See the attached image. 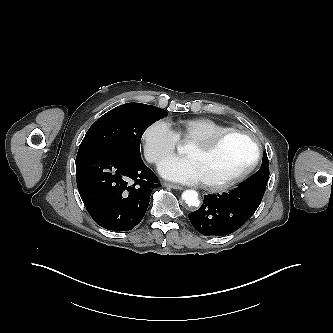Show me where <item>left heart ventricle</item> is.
Masks as SVG:
<instances>
[{
  "label": "left heart ventricle",
  "instance_id": "1",
  "mask_svg": "<svg viewBox=\"0 0 333 333\" xmlns=\"http://www.w3.org/2000/svg\"><path fill=\"white\" fill-rule=\"evenodd\" d=\"M186 156L193 159L204 182H221L244 169L251 161L253 149L241 136H230L211 151L189 144Z\"/></svg>",
  "mask_w": 333,
  "mask_h": 333
}]
</instances>
